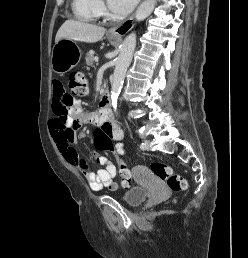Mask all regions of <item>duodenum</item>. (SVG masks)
<instances>
[{
    "label": "duodenum",
    "instance_id": "410a0bca",
    "mask_svg": "<svg viewBox=\"0 0 248 258\" xmlns=\"http://www.w3.org/2000/svg\"><path fill=\"white\" fill-rule=\"evenodd\" d=\"M100 111L102 115H105L111 118L110 94L107 90L104 91L102 95V103H101Z\"/></svg>",
    "mask_w": 248,
    "mask_h": 258
}]
</instances>
